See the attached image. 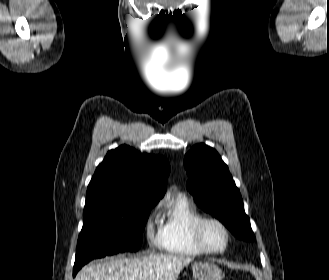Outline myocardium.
I'll use <instances>...</instances> for the list:
<instances>
[{
  "label": "myocardium",
  "instance_id": "f54148a6",
  "mask_svg": "<svg viewBox=\"0 0 329 280\" xmlns=\"http://www.w3.org/2000/svg\"><path fill=\"white\" fill-rule=\"evenodd\" d=\"M208 224H216L217 226H219L223 230L226 240H225V244L222 248L213 249V248H210L206 244V242L204 240L203 233H204L205 227ZM193 240H194L196 246L203 253L210 254V255H218V254L224 253L228 249V247L230 245V242H231V233H230V230L227 227V225L222 220H220L219 218L212 217V216H205V217L200 218L194 224V227H193Z\"/></svg>",
  "mask_w": 329,
  "mask_h": 280
}]
</instances>
